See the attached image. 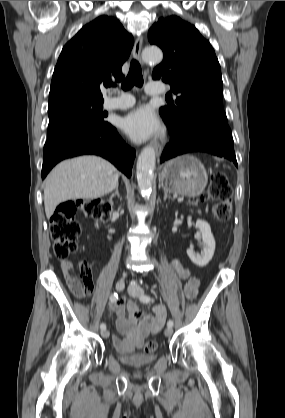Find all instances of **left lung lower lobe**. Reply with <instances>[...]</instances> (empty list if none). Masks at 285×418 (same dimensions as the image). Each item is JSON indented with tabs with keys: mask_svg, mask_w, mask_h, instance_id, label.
Instances as JSON below:
<instances>
[{
	"mask_svg": "<svg viewBox=\"0 0 285 418\" xmlns=\"http://www.w3.org/2000/svg\"><path fill=\"white\" fill-rule=\"evenodd\" d=\"M195 151L223 156L237 166L233 137L228 124L212 119L198 120L182 133L171 135V141L165 147L160 162Z\"/></svg>",
	"mask_w": 285,
	"mask_h": 418,
	"instance_id": "obj_1",
	"label": "left lung lower lobe"
}]
</instances>
